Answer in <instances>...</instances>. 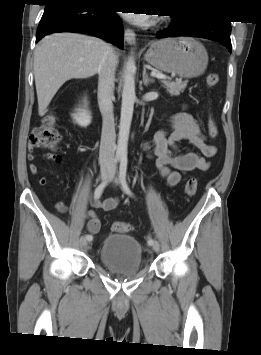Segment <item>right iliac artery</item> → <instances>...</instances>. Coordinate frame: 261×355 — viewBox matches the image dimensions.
Returning <instances> with one entry per match:
<instances>
[{"mask_svg":"<svg viewBox=\"0 0 261 355\" xmlns=\"http://www.w3.org/2000/svg\"><path fill=\"white\" fill-rule=\"evenodd\" d=\"M118 160H119V157H116V158L114 159V164H115V166H116ZM110 180H111V178H109V179L103 181V182L95 189V192H94V198H95V199H99V198H100V196H101L102 193H103L104 188L108 185V183L110 182ZM85 237H86V239H87L88 241H92V239H93L92 235H89V234L86 235Z\"/></svg>","mask_w":261,"mask_h":355,"instance_id":"right-iliac-artery-1","label":"right iliac artery"}]
</instances>
